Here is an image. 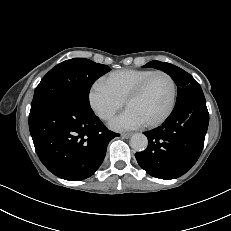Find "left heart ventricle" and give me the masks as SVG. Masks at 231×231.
Wrapping results in <instances>:
<instances>
[{"instance_id":"obj_1","label":"left heart ventricle","mask_w":231,"mask_h":231,"mask_svg":"<svg viewBox=\"0 0 231 231\" xmlns=\"http://www.w3.org/2000/svg\"><path fill=\"white\" fill-rule=\"evenodd\" d=\"M172 98V85L164 75H156L143 93L131 101L127 109L134 111L145 123L160 118L168 109Z\"/></svg>"}]
</instances>
